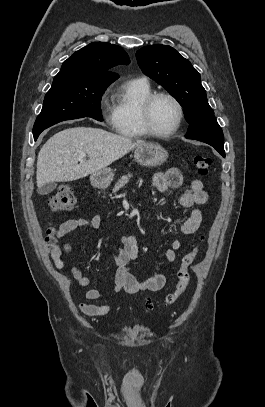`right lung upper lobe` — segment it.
Returning a JSON list of instances; mask_svg holds the SVG:
<instances>
[{
  "mask_svg": "<svg viewBox=\"0 0 265 407\" xmlns=\"http://www.w3.org/2000/svg\"><path fill=\"white\" fill-rule=\"evenodd\" d=\"M129 63L127 53L120 46L93 42L64 61L56 76H68L76 81L112 83L119 76L108 70L118 64Z\"/></svg>",
  "mask_w": 265,
  "mask_h": 407,
  "instance_id": "1",
  "label": "right lung upper lobe"
}]
</instances>
